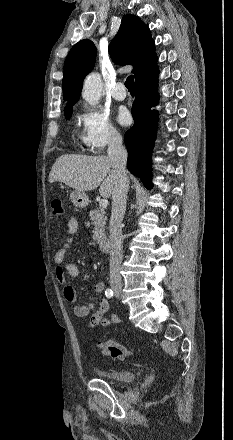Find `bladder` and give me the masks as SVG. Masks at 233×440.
I'll return each instance as SVG.
<instances>
[{
	"label": "bladder",
	"mask_w": 233,
	"mask_h": 440,
	"mask_svg": "<svg viewBox=\"0 0 233 440\" xmlns=\"http://www.w3.org/2000/svg\"><path fill=\"white\" fill-rule=\"evenodd\" d=\"M97 374L100 377L120 383L132 381L136 377L135 372L130 370H117V371L97 370Z\"/></svg>",
	"instance_id": "31cf9c89"
}]
</instances>
